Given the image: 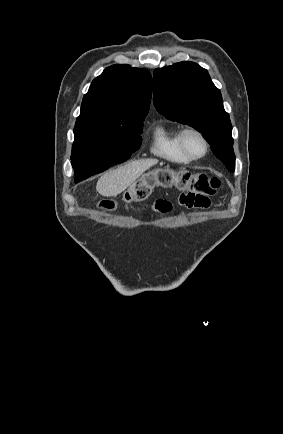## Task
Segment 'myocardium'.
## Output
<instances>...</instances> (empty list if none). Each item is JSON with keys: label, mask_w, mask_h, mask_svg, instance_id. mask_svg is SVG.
<instances>
[{"label": "myocardium", "mask_w": 283, "mask_h": 434, "mask_svg": "<svg viewBox=\"0 0 283 434\" xmlns=\"http://www.w3.org/2000/svg\"><path fill=\"white\" fill-rule=\"evenodd\" d=\"M190 134L196 135L201 140V142L203 144V151L198 155L193 154L187 147L186 138ZM179 145H180L182 152L190 160H199V159L203 158L208 153V150H209V142H208L206 136L204 135V133L201 130H199L198 128H195V127H187V128H184L180 131Z\"/></svg>", "instance_id": "f54148a6"}]
</instances>
